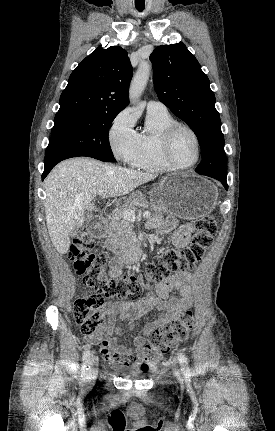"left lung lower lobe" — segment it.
<instances>
[{"label": "left lung lower lobe", "mask_w": 275, "mask_h": 431, "mask_svg": "<svg viewBox=\"0 0 275 431\" xmlns=\"http://www.w3.org/2000/svg\"><path fill=\"white\" fill-rule=\"evenodd\" d=\"M199 174L210 176L212 178H215V179L219 180L223 184V186L226 189H228V185H227V181H226L227 174H222V173H207V172H203V173H199Z\"/></svg>", "instance_id": "obj_1"}]
</instances>
